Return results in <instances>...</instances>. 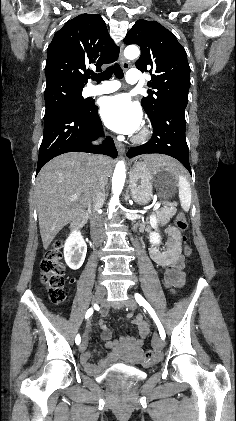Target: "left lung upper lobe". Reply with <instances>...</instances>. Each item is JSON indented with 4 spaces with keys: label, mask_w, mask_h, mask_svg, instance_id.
Listing matches in <instances>:
<instances>
[{
    "label": "left lung upper lobe",
    "mask_w": 236,
    "mask_h": 421,
    "mask_svg": "<svg viewBox=\"0 0 236 421\" xmlns=\"http://www.w3.org/2000/svg\"><path fill=\"white\" fill-rule=\"evenodd\" d=\"M123 41L140 46L141 56L135 65L142 72H150L152 83L148 86L157 89L141 100L149 118L169 104L187 105L190 67L185 49L176 37L158 22L141 19Z\"/></svg>",
    "instance_id": "left-lung-upper-lobe-1"
}]
</instances>
